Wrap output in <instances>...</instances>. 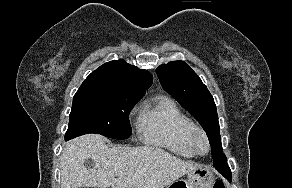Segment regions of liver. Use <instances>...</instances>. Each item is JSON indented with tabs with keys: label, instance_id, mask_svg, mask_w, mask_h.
Wrapping results in <instances>:
<instances>
[{
	"label": "liver",
	"instance_id": "obj_1",
	"mask_svg": "<svg viewBox=\"0 0 292 188\" xmlns=\"http://www.w3.org/2000/svg\"><path fill=\"white\" fill-rule=\"evenodd\" d=\"M88 158L94 161L92 168L85 163ZM197 168L198 164L158 147L110 148L104 137L88 134L64 147L60 157L61 188H164Z\"/></svg>",
	"mask_w": 292,
	"mask_h": 188
}]
</instances>
